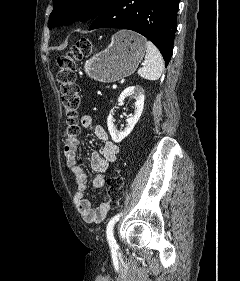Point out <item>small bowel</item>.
<instances>
[{
	"mask_svg": "<svg viewBox=\"0 0 240 281\" xmlns=\"http://www.w3.org/2000/svg\"><path fill=\"white\" fill-rule=\"evenodd\" d=\"M80 124L84 128H91L94 135L102 142L99 152H93L90 157V165L95 172L92 185L95 189H102L105 184V174L109 170L110 164L116 161L119 148L116 143L109 139V135L104 127L93 123L91 115H83L80 118ZM64 152L67 166L74 176L77 185L74 193V203L78 211L87 223L102 222L110 209L108 201L104 198L100 205L96 207L92 205L91 201L85 197L88 179L86 173L77 162L76 146L70 149L64 147Z\"/></svg>",
	"mask_w": 240,
	"mask_h": 281,
	"instance_id": "c3829d8e",
	"label": "small bowel"
}]
</instances>
